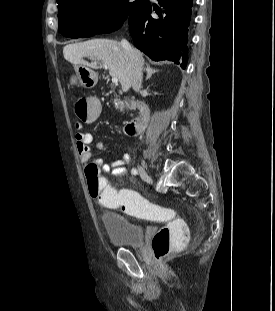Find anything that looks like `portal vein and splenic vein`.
<instances>
[{
	"label": "portal vein and splenic vein",
	"instance_id": "1",
	"mask_svg": "<svg viewBox=\"0 0 275 311\" xmlns=\"http://www.w3.org/2000/svg\"><path fill=\"white\" fill-rule=\"evenodd\" d=\"M96 65V63H94ZM106 67V66H105ZM112 83H114L115 85L118 84V78L117 77H112Z\"/></svg>",
	"mask_w": 275,
	"mask_h": 311
}]
</instances>
